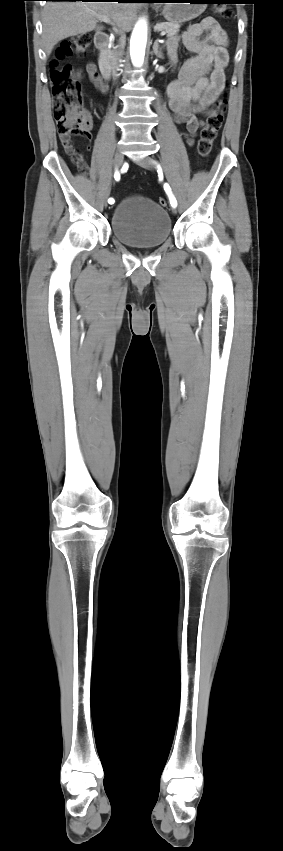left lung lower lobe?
I'll list each match as a JSON object with an SVG mask.
<instances>
[{
    "label": "left lung lower lobe",
    "instance_id": "1",
    "mask_svg": "<svg viewBox=\"0 0 283 851\" xmlns=\"http://www.w3.org/2000/svg\"><path fill=\"white\" fill-rule=\"evenodd\" d=\"M154 2H156V1H154ZM209 3H226V4H234V3H238V0H227V1H225V2H220V1H210Z\"/></svg>",
    "mask_w": 283,
    "mask_h": 851
}]
</instances>
